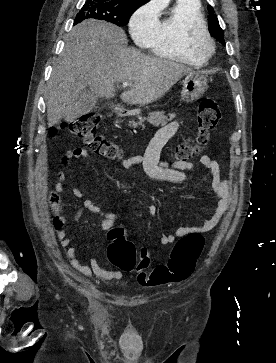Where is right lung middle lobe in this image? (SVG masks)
<instances>
[{
    "label": "right lung middle lobe",
    "mask_w": 276,
    "mask_h": 363,
    "mask_svg": "<svg viewBox=\"0 0 276 363\" xmlns=\"http://www.w3.org/2000/svg\"><path fill=\"white\" fill-rule=\"evenodd\" d=\"M139 4L123 3L112 0H87L76 15L74 25L86 19H98L111 22L118 26L128 24L130 16Z\"/></svg>",
    "instance_id": "obj_1"
}]
</instances>
